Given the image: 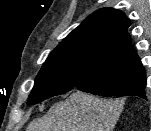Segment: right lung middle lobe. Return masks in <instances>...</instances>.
Here are the masks:
<instances>
[{
	"instance_id": "1",
	"label": "right lung middle lobe",
	"mask_w": 151,
	"mask_h": 131,
	"mask_svg": "<svg viewBox=\"0 0 151 131\" xmlns=\"http://www.w3.org/2000/svg\"><path fill=\"white\" fill-rule=\"evenodd\" d=\"M85 75L88 79L98 81L101 88L108 89L107 84L99 79V71L92 56L75 50L67 43H60L39 71L27 104H37L68 92L74 89L75 80Z\"/></svg>"
}]
</instances>
